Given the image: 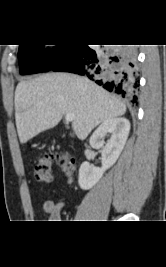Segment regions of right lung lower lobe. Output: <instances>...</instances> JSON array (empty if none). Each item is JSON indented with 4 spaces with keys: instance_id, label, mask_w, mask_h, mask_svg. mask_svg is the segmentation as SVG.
I'll use <instances>...</instances> for the list:
<instances>
[{
    "instance_id": "right-lung-lower-lobe-1",
    "label": "right lung lower lobe",
    "mask_w": 166,
    "mask_h": 267,
    "mask_svg": "<svg viewBox=\"0 0 166 267\" xmlns=\"http://www.w3.org/2000/svg\"><path fill=\"white\" fill-rule=\"evenodd\" d=\"M133 47L92 49L88 45H71L64 58L51 70L86 75L106 90L136 101L139 86Z\"/></svg>"
}]
</instances>
